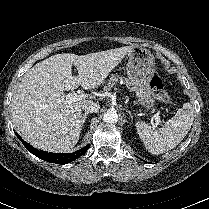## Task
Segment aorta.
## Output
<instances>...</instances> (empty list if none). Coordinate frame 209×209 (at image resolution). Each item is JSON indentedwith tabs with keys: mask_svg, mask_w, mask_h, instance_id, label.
<instances>
[{
	"mask_svg": "<svg viewBox=\"0 0 209 209\" xmlns=\"http://www.w3.org/2000/svg\"><path fill=\"white\" fill-rule=\"evenodd\" d=\"M104 122L106 123H116L118 121V115L114 110H108L103 117Z\"/></svg>",
	"mask_w": 209,
	"mask_h": 209,
	"instance_id": "762f6f07",
	"label": "aorta"
}]
</instances>
